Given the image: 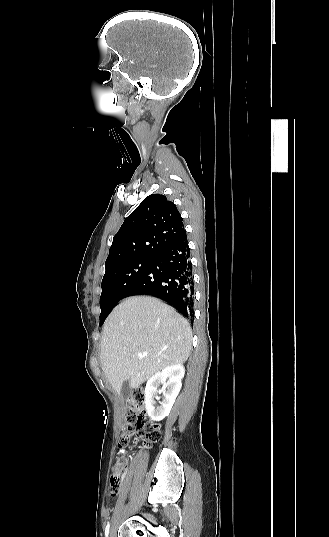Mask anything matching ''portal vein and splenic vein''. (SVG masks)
Returning a JSON list of instances; mask_svg holds the SVG:
<instances>
[{
	"label": "portal vein and splenic vein",
	"instance_id": "portal-vein-and-splenic-vein-1",
	"mask_svg": "<svg viewBox=\"0 0 329 537\" xmlns=\"http://www.w3.org/2000/svg\"><path fill=\"white\" fill-rule=\"evenodd\" d=\"M147 356V354H138L139 359H144Z\"/></svg>",
	"mask_w": 329,
	"mask_h": 537
}]
</instances>
